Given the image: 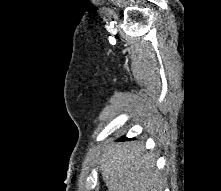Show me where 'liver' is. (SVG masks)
I'll return each instance as SVG.
<instances>
[{
	"label": "liver",
	"mask_w": 221,
	"mask_h": 191,
	"mask_svg": "<svg viewBox=\"0 0 221 191\" xmlns=\"http://www.w3.org/2000/svg\"><path fill=\"white\" fill-rule=\"evenodd\" d=\"M100 170L109 191H162L154 154L140 143L109 147L100 160Z\"/></svg>",
	"instance_id": "6515ba94"
}]
</instances>
